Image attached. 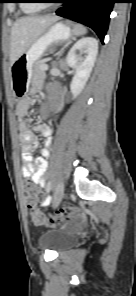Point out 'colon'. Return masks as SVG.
<instances>
[{"label": "colon", "mask_w": 136, "mask_h": 296, "mask_svg": "<svg viewBox=\"0 0 136 296\" xmlns=\"http://www.w3.org/2000/svg\"><path fill=\"white\" fill-rule=\"evenodd\" d=\"M24 193L27 206L31 213L32 220L36 224H63L67 220L77 215V211L73 208L63 207L60 210H58V212L54 216L47 217L38 207V203L42 200L41 191L37 189L32 183L26 181L24 182Z\"/></svg>", "instance_id": "obj_1"}]
</instances>
